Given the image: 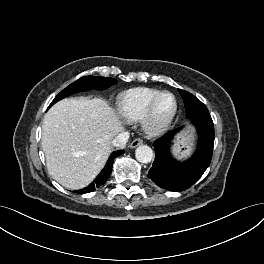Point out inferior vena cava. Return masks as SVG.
Listing matches in <instances>:
<instances>
[{
	"instance_id": "inferior-vena-cava-1",
	"label": "inferior vena cava",
	"mask_w": 264,
	"mask_h": 264,
	"mask_svg": "<svg viewBox=\"0 0 264 264\" xmlns=\"http://www.w3.org/2000/svg\"><path fill=\"white\" fill-rule=\"evenodd\" d=\"M128 139H129L128 132L119 133L112 141V145L118 149H123L125 148Z\"/></svg>"
}]
</instances>
